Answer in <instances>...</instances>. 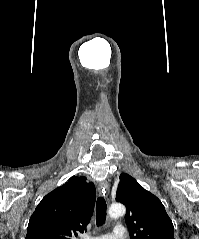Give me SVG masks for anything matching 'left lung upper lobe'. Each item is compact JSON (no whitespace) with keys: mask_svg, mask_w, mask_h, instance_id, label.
Masks as SVG:
<instances>
[{"mask_svg":"<svg viewBox=\"0 0 199 239\" xmlns=\"http://www.w3.org/2000/svg\"><path fill=\"white\" fill-rule=\"evenodd\" d=\"M116 200L126 206L131 239H174L173 223L161 201L130 175H120Z\"/></svg>","mask_w":199,"mask_h":239,"instance_id":"1","label":"left lung upper lobe"}]
</instances>
